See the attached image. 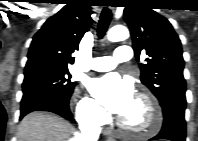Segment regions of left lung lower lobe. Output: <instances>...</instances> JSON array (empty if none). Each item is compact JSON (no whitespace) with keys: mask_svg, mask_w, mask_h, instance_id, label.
I'll return each instance as SVG.
<instances>
[{"mask_svg":"<svg viewBox=\"0 0 198 141\" xmlns=\"http://www.w3.org/2000/svg\"><path fill=\"white\" fill-rule=\"evenodd\" d=\"M186 100L176 99L166 103L163 109V126L160 133L151 140L166 139L170 141H185L186 123L184 111Z\"/></svg>","mask_w":198,"mask_h":141,"instance_id":"1","label":"left lung lower lobe"}]
</instances>
